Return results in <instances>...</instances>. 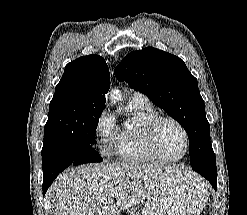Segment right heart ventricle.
Wrapping results in <instances>:
<instances>
[{"label": "right heart ventricle", "instance_id": "right-heart-ventricle-1", "mask_svg": "<svg viewBox=\"0 0 247 215\" xmlns=\"http://www.w3.org/2000/svg\"><path fill=\"white\" fill-rule=\"evenodd\" d=\"M132 117L131 125L118 129L115 139V154L125 162L146 163L158 160L149 150L144 136V126L157 116L151 105L128 103Z\"/></svg>", "mask_w": 247, "mask_h": 215}]
</instances>
